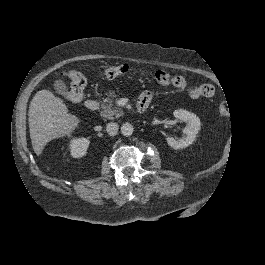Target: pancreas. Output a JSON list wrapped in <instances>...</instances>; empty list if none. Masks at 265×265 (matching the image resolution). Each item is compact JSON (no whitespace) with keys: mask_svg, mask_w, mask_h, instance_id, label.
<instances>
[{"mask_svg":"<svg viewBox=\"0 0 265 265\" xmlns=\"http://www.w3.org/2000/svg\"><path fill=\"white\" fill-rule=\"evenodd\" d=\"M106 95L107 97L103 99V101L101 102V108H102V111L100 113L101 116L108 118V119H114V118H118L122 116L123 110L115 104L114 99L117 97L115 92L110 91Z\"/></svg>","mask_w":265,"mask_h":265,"instance_id":"pancreas-1","label":"pancreas"}]
</instances>
